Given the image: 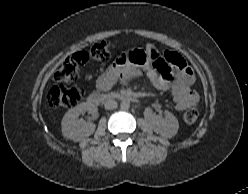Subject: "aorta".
<instances>
[{"label":"aorta","mask_w":248,"mask_h":194,"mask_svg":"<svg viewBox=\"0 0 248 194\" xmlns=\"http://www.w3.org/2000/svg\"><path fill=\"white\" fill-rule=\"evenodd\" d=\"M121 109L128 110L130 108V101L129 100H123L120 104Z\"/></svg>","instance_id":"1"}]
</instances>
